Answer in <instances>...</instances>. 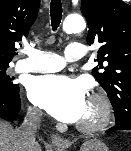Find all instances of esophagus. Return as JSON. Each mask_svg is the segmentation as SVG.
Segmentation results:
<instances>
[{
    "mask_svg": "<svg viewBox=\"0 0 131 151\" xmlns=\"http://www.w3.org/2000/svg\"><path fill=\"white\" fill-rule=\"evenodd\" d=\"M50 140L53 145L58 146V147H65L67 145V141L55 133L51 134Z\"/></svg>",
    "mask_w": 131,
    "mask_h": 151,
    "instance_id": "1",
    "label": "esophagus"
}]
</instances>
